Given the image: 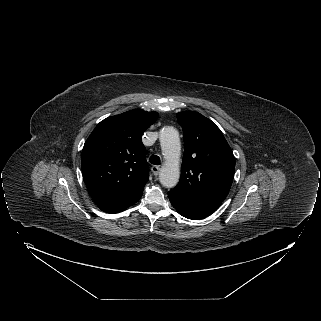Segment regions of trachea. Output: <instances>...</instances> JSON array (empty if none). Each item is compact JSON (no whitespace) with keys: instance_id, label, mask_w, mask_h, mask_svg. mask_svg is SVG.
Instances as JSON below:
<instances>
[{"instance_id":"trachea-1","label":"trachea","mask_w":321,"mask_h":321,"mask_svg":"<svg viewBox=\"0 0 321 321\" xmlns=\"http://www.w3.org/2000/svg\"><path fill=\"white\" fill-rule=\"evenodd\" d=\"M149 162L154 165H160V157L157 155H153L149 158Z\"/></svg>"}]
</instances>
